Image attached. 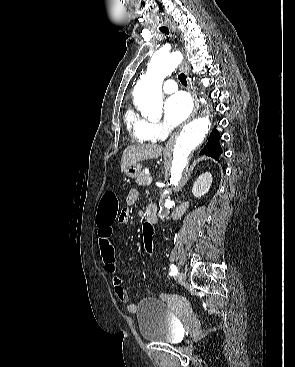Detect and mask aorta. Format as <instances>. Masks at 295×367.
Here are the masks:
<instances>
[{
    "label": "aorta",
    "instance_id": "762f6f07",
    "mask_svg": "<svg viewBox=\"0 0 295 367\" xmlns=\"http://www.w3.org/2000/svg\"><path fill=\"white\" fill-rule=\"evenodd\" d=\"M181 60L182 55L177 51H158L152 56L146 75L136 84L133 94L134 103L142 116L147 118L161 117L163 80L176 69ZM209 126L208 116L196 118L187 123L177 137L170 163L167 197L164 200L166 210L172 206L169 191L181 183L189 154L202 143Z\"/></svg>",
    "mask_w": 295,
    "mask_h": 367
}]
</instances>
